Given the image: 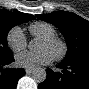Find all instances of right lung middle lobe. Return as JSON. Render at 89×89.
<instances>
[{
  "instance_id": "obj_1",
  "label": "right lung middle lobe",
  "mask_w": 89,
  "mask_h": 89,
  "mask_svg": "<svg viewBox=\"0 0 89 89\" xmlns=\"http://www.w3.org/2000/svg\"><path fill=\"white\" fill-rule=\"evenodd\" d=\"M24 22L27 20L19 16L9 12H0V58L12 54L7 44V34L12 27Z\"/></svg>"
}]
</instances>
